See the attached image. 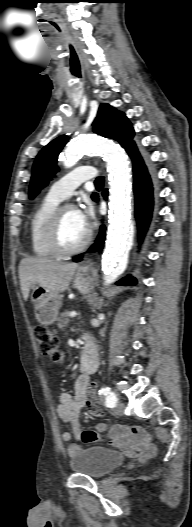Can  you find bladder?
Instances as JSON below:
<instances>
[{
	"mask_svg": "<svg viewBox=\"0 0 192 527\" xmlns=\"http://www.w3.org/2000/svg\"><path fill=\"white\" fill-rule=\"evenodd\" d=\"M119 451L104 446H92L79 451L70 460V468L76 474L101 478L114 471L124 462Z\"/></svg>",
	"mask_w": 192,
	"mask_h": 527,
	"instance_id": "obj_1",
	"label": "bladder"
}]
</instances>
